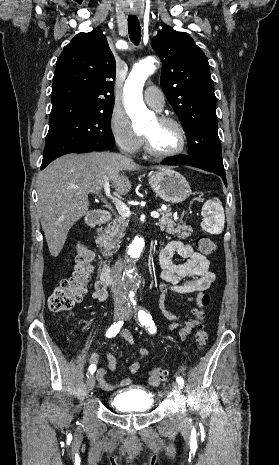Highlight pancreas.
I'll list each match as a JSON object with an SVG mask.
<instances>
[{
  "instance_id": "cf45deb5",
  "label": "pancreas",
  "mask_w": 279,
  "mask_h": 465,
  "mask_svg": "<svg viewBox=\"0 0 279 465\" xmlns=\"http://www.w3.org/2000/svg\"><path fill=\"white\" fill-rule=\"evenodd\" d=\"M161 219L156 224L159 226L161 231H166L168 234L177 235L178 238L189 237L192 234V228L187 225H178L172 220V213L170 210L161 211ZM129 224V220L123 216H117L107 228H105V234H102L100 240L103 246L112 250L119 247L120 240L125 236V230Z\"/></svg>"
}]
</instances>
